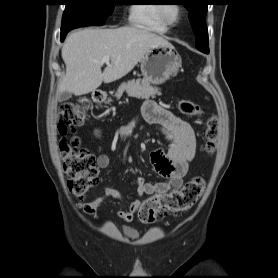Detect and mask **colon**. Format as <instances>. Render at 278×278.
<instances>
[{"label": "colon", "instance_id": "1", "mask_svg": "<svg viewBox=\"0 0 278 278\" xmlns=\"http://www.w3.org/2000/svg\"><path fill=\"white\" fill-rule=\"evenodd\" d=\"M87 102L84 99L62 104L57 111L58 130L62 138L59 150L63 162V170L68 178L69 191L82 200L88 191L98 182V169L95 156L80 146L76 136H70L75 128L82 126L87 118ZM179 111L186 116H198L201 107L191 100H180ZM219 135L218 119L212 116L207 121L205 132V149L213 153L216 149ZM205 182L201 177H195L181 189L169 193L156 194L146 199L139 208L138 217L142 223H154L159 217L179 213L191 209L201 197Z\"/></svg>", "mask_w": 278, "mask_h": 278}]
</instances>
